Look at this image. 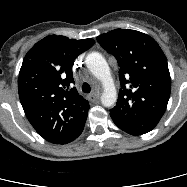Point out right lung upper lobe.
I'll return each instance as SVG.
<instances>
[{
	"mask_svg": "<svg viewBox=\"0 0 187 187\" xmlns=\"http://www.w3.org/2000/svg\"><path fill=\"white\" fill-rule=\"evenodd\" d=\"M94 43L93 39L50 35L23 60L18 78L20 102L34 129L51 143H69L84 128L89 103L73 87L72 62Z\"/></svg>",
	"mask_w": 187,
	"mask_h": 187,
	"instance_id": "cb5924a9",
	"label": "right lung upper lobe"
}]
</instances>
